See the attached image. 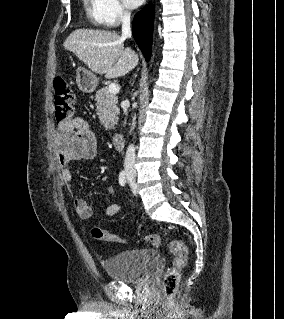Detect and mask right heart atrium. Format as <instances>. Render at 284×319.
<instances>
[{
	"instance_id": "right-heart-atrium-1",
	"label": "right heart atrium",
	"mask_w": 284,
	"mask_h": 319,
	"mask_svg": "<svg viewBox=\"0 0 284 319\" xmlns=\"http://www.w3.org/2000/svg\"><path fill=\"white\" fill-rule=\"evenodd\" d=\"M100 2L102 18L105 25L114 27L128 18L129 12L120 0H100Z\"/></svg>"
}]
</instances>
